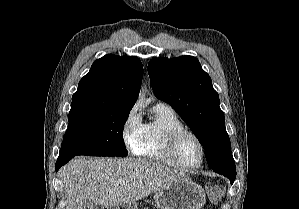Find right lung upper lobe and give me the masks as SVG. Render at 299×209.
I'll list each match as a JSON object with an SVG mask.
<instances>
[{"instance_id": "1", "label": "right lung upper lobe", "mask_w": 299, "mask_h": 209, "mask_svg": "<svg viewBox=\"0 0 299 209\" xmlns=\"http://www.w3.org/2000/svg\"><path fill=\"white\" fill-rule=\"evenodd\" d=\"M143 66L137 57L112 54L96 60L78 84L72 107L131 110L141 87Z\"/></svg>"}]
</instances>
